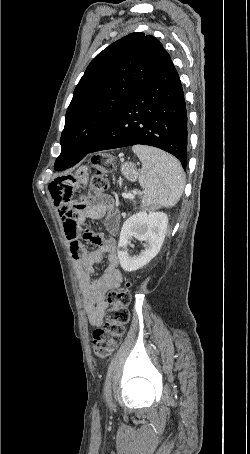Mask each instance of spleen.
Listing matches in <instances>:
<instances>
[{"label": "spleen", "mask_w": 250, "mask_h": 454, "mask_svg": "<svg viewBox=\"0 0 250 454\" xmlns=\"http://www.w3.org/2000/svg\"><path fill=\"white\" fill-rule=\"evenodd\" d=\"M133 152L142 163L139 183L144 187L143 207H172L180 199L185 174L180 162L159 149L135 145Z\"/></svg>", "instance_id": "3e777b00"}]
</instances>
